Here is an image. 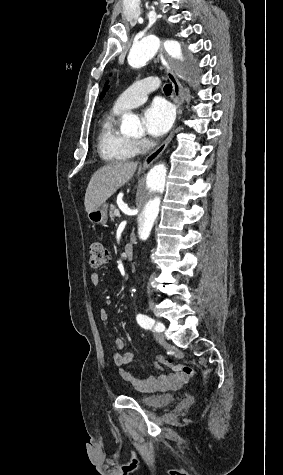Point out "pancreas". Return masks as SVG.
I'll list each match as a JSON object with an SVG mask.
<instances>
[{
    "label": "pancreas",
    "mask_w": 283,
    "mask_h": 475,
    "mask_svg": "<svg viewBox=\"0 0 283 475\" xmlns=\"http://www.w3.org/2000/svg\"><path fill=\"white\" fill-rule=\"evenodd\" d=\"M109 216H110L111 220H113V218H115V206H113V204H111Z\"/></svg>",
    "instance_id": "pancreas-1"
}]
</instances>
